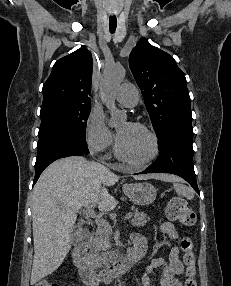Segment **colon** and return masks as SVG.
I'll return each mask as SVG.
<instances>
[{"label":"colon","mask_w":231,"mask_h":286,"mask_svg":"<svg viewBox=\"0 0 231 286\" xmlns=\"http://www.w3.org/2000/svg\"><path fill=\"white\" fill-rule=\"evenodd\" d=\"M167 216L171 220L180 222L185 226H192L196 221V215L187 201L181 197H174L169 201ZM181 248L184 252V263L186 265V280L184 286H197L195 279V255L194 243L190 237H184L181 241ZM35 286H58L56 283L43 279L38 281Z\"/></svg>","instance_id":"colon-1"}]
</instances>
